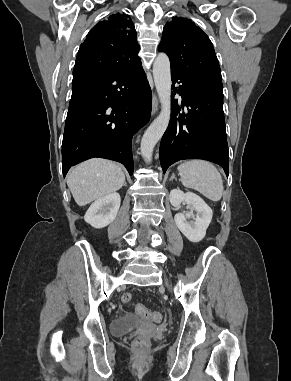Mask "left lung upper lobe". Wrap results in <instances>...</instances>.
Instances as JSON below:
<instances>
[{"instance_id": "1", "label": "left lung upper lobe", "mask_w": 291, "mask_h": 381, "mask_svg": "<svg viewBox=\"0 0 291 381\" xmlns=\"http://www.w3.org/2000/svg\"><path fill=\"white\" fill-rule=\"evenodd\" d=\"M158 50L170 59L171 71L204 88H221V70L209 37L190 19L173 18L163 28Z\"/></svg>"}]
</instances>
